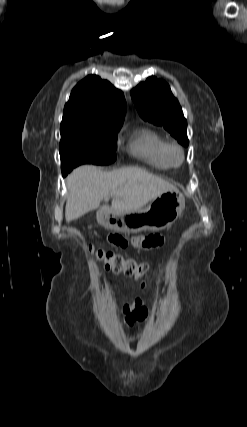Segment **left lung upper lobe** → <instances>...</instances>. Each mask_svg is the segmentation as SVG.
<instances>
[{"label": "left lung upper lobe", "mask_w": 247, "mask_h": 427, "mask_svg": "<svg viewBox=\"0 0 247 427\" xmlns=\"http://www.w3.org/2000/svg\"><path fill=\"white\" fill-rule=\"evenodd\" d=\"M131 96L144 120L163 126L179 143L188 146L187 121L165 81L149 77L131 91Z\"/></svg>", "instance_id": "left-lung-upper-lobe-1"}]
</instances>
